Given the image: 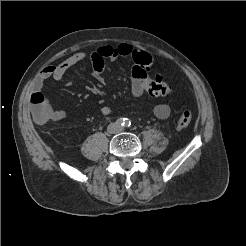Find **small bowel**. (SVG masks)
Listing matches in <instances>:
<instances>
[{
  "mask_svg": "<svg viewBox=\"0 0 246 246\" xmlns=\"http://www.w3.org/2000/svg\"><path fill=\"white\" fill-rule=\"evenodd\" d=\"M135 49L132 45L123 43L118 46H102L95 51L90 53L86 52H76L71 56L64 59L61 63L57 65L46 66L41 70L38 76L35 78L33 83V93H40L46 100L48 106V117L46 122L60 121L62 120L66 113L63 110L54 109L46 96L42 93V88L45 82L49 79L56 81L61 80L66 72L70 70L75 65L80 62L89 59L92 62L94 69V77L100 83H103V67L106 60H115L117 58H131L132 53ZM151 78L146 72H140L134 65L132 67V84L131 91L135 97H141L146 93V86ZM67 85H71V81L66 82ZM100 112L104 116L112 114L113 110L111 107L103 106ZM170 107L167 104L159 103L154 106L153 113L159 119H166L170 115Z\"/></svg>",
  "mask_w": 246,
  "mask_h": 246,
  "instance_id": "c3829d8e",
  "label": "small bowel"
}]
</instances>
